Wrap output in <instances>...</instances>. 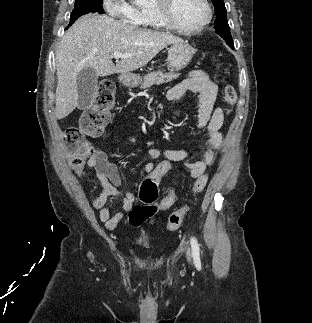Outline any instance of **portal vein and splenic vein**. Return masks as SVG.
I'll return each instance as SVG.
<instances>
[{
    "mask_svg": "<svg viewBox=\"0 0 312 323\" xmlns=\"http://www.w3.org/2000/svg\"><path fill=\"white\" fill-rule=\"evenodd\" d=\"M132 54H121V52H113L112 58L119 60V58H131Z\"/></svg>",
    "mask_w": 312,
    "mask_h": 323,
    "instance_id": "1",
    "label": "portal vein and splenic vein"
}]
</instances>
